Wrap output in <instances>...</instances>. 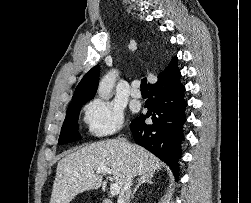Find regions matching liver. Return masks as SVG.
<instances>
[{
	"mask_svg": "<svg viewBox=\"0 0 251 203\" xmlns=\"http://www.w3.org/2000/svg\"><path fill=\"white\" fill-rule=\"evenodd\" d=\"M110 139L92 143L62 158L57 165L50 203H70L79 193L95 190L102 184L99 167L111 169L113 180L120 188L129 174L133 177L154 173L162 162L146 149Z\"/></svg>",
	"mask_w": 251,
	"mask_h": 203,
	"instance_id": "liver-1",
	"label": "liver"
}]
</instances>
